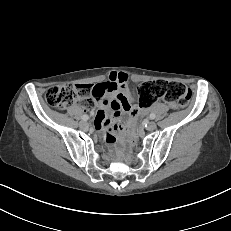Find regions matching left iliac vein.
Returning <instances> with one entry per match:
<instances>
[{"mask_svg":"<svg viewBox=\"0 0 231 231\" xmlns=\"http://www.w3.org/2000/svg\"><path fill=\"white\" fill-rule=\"evenodd\" d=\"M157 128V125L155 122H149L147 125V130L154 131Z\"/></svg>","mask_w":231,"mask_h":231,"instance_id":"obj_1","label":"left iliac vein"}]
</instances>
